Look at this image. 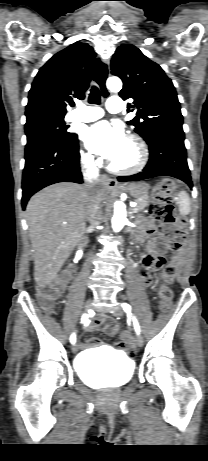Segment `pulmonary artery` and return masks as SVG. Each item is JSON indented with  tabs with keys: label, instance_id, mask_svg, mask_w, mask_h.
Here are the masks:
<instances>
[{
	"label": "pulmonary artery",
	"instance_id": "pulmonary-artery-1",
	"mask_svg": "<svg viewBox=\"0 0 208 461\" xmlns=\"http://www.w3.org/2000/svg\"><path fill=\"white\" fill-rule=\"evenodd\" d=\"M110 113H118L122 110V99L119 97H110L106 104ZM103 116V111L98 107L81 105L79 109L69 117L71 121L92 122Z\"/></svg>",
	"mask_w": 208,
	"mask_h": 461
}]
</instances>
